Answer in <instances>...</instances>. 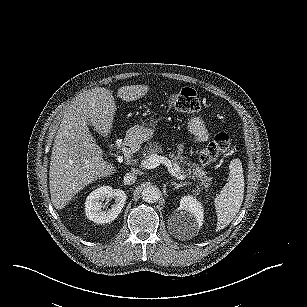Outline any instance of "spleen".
Returning <instances> with one entry per match:
<instances>
[{
    "instance_id": "obj_1",
    "label": "spleen",
    "mask_w": 307,
    "mask_h": 307,
    "mask_svg": "<svg viewBox=\"0 0 307 307\" xmlns=\"http://www.w3.org/2000/svg\"><path fill=\"white\" fill-rule=\"evenodd\" d=\"M229 169L228 182L215 198L217 231L225 228L235 218L244 198V175L240 159L232 160Z\"/></svg>"
}]
</instances>
